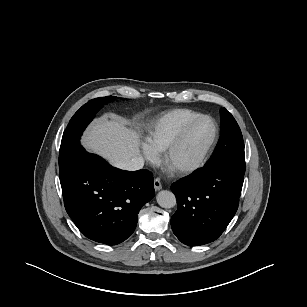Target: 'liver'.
<instances>
[{"mask_svg":"<svg viewBox=\"0 0 307 307\" xmlns=\"http://www.w3.org/2000/svg\"><path fill=\"white\" fill-rule=\"evenodd\" d=\"M84 147L107 159L112 165L140 156V136L119 118L97 119L83 137Z\"/></svg>","mask_w":307,"mask_h":307,"instance_id":"6515ba94","label":"liver"}]
</instances>
